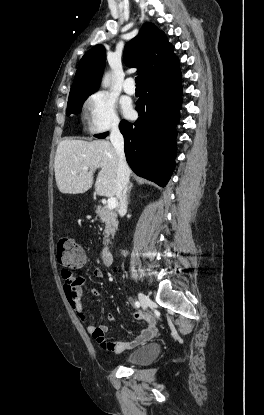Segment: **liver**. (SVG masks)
I'll return each instance as SVG.
<instances>
[{
  "instance_id": "1",
  "label": "liver",
  "mask_w": 264,
  "mask_h": 415,
  "mask_svg": "<svg viewBox=\"0 0 264 415\" xmlns=\"http://www.w3.org/2000/svg\"><path fill=\"white\" fill-rule=\"evenodd\" d=\"M86 167L88 170L84 169ZM98 168L96 194L113 197L116 195L118 157L109 141L66 139L58 144L54 169L56 184L61 193L80 194L88 191Z\"/></svg>"
}]
</instances>
